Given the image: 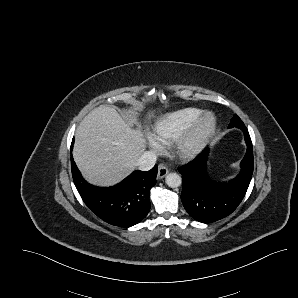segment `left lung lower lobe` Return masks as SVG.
I'll use <instances>...</instances> for the list:
<instances>
[{
	"mask_svg": "<svg viewBox=\"0 0 298 298\" xmlns=\"http://www.w3.org/2000/svg\"><path fill=\"white\" fill-rule=\"evenodd\" d=\"M245 136L247 152L241 162V172L228 183H215L207 174L209 149L179 168L182 175L181 200L188 214L202 223H211L231 214L248 189L253 168V146L247 128L239 127Z\"/></svg>",
	"mask_w": 298,
	"mask_h": 298,
	"instance_id": "obj_1",
	"label": "left lung lower lobe"
}]
</instances>
